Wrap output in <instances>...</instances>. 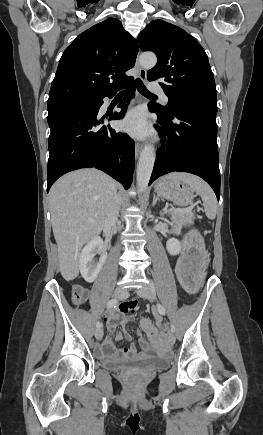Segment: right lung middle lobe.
<instances>
[{
  "mask_svg": "<svg viewBox=\"0 0 263 435\" xmlns=\"http://www.w3.org/2000/svg\"><path fill=\"white\" fill-rule=\"evenodd\" d=\"M95 100H86V101H79V102H72V103H66V104H59V105H52L48 106V113L51 111H54L56 109L65 108V107H72V106H82V105H88L91 103H94Z\"/></svg>",
  "mask_w": 263,
  "mask_h": 435,
  "instance_id": "obj_1",
  "label": "right lung middle lobe"
}]
</instances>
